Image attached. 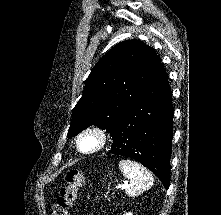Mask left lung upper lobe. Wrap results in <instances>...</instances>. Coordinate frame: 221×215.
Returning <instances> with one entry per match:
<instances>
[{
  "mask_svg": "<svg viewBox=\"0 0 221 215\" xmlns=\"http://www.w3.org/2000/svg\"><path fill=\"white\" fill-rule=\"evenodd\" d=\"M162 68L154 49L141 41H123L92 69L73 109L68 137L90 125L112 133L120 119Z\"/></svg>",
  "mask_w": 221,
  "mask_h": 215,
  "instance_id": "1",
  "label": "left lung upper lobe"
}]
</instances>
